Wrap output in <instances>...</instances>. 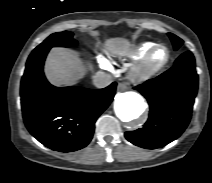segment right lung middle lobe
I'll return each instance as SVG.
<instances>
[{
    "label": "right lung middle lobe",
    "mask_w": 212,
    "mask_h": 183,
    "mask_svg": "<svg viewBox=\"0 0 212 183\" xmlns=\"http://www.w3.org/2000/svg\"><path fill=\"white\" fill-rule=\"evenodd\" d=\"M73 34L68 31L54 33L35 49H45L51 47H70L77 44L72 38Z\"/></svg>",
    "instance_id": "dd1d6c3e"
}]
</instances>
